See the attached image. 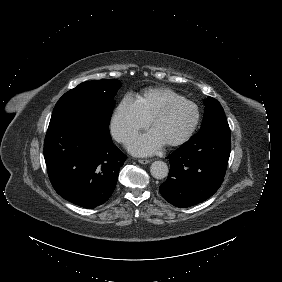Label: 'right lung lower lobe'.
Masks as SVG:
<instances>
[{
    "instance_id": "98d812e1",
    "label": "right lung lower lobe",
    "mask_w": 282,
    "mask_h": 282,
    "mask_svg": "<svg viewBox=\"0 0 282 282\" xmlns=\"http://www.w3.org/2000/svg\"><path fill=\"white\" fill-rule=\"evenodd\" d=\"M44 158L56 192L92 209L111 197L127 157L113 144L108 125L72 110L50 120Z\"/></svg>"
}]
</instances>
